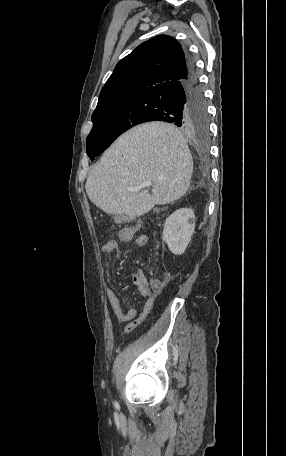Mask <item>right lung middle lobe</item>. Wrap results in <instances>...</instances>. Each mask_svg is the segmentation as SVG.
<instances>
[{
	"label": "right lung middle lobe",
	"mask_w": 286,
	"mask_h": 456,
	"mask_svg": "<svg viewBox=\"0 0 286 456\" xmlns=\"http://www.w3.org/2000/svg\"><path fill=\"white\" fill-rule=\"evenodd\" d=\"M142 119L141 106L136 95L114 100L92 114L94 124L86 140L87 154L91 160L107 149L111 143L126 130L140 124ZM192 131L202 137L208 135L207 117Z\"/></svg>",
	"instance_id": "1"
}]
</instances>
